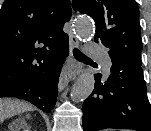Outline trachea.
Listing matches in <instances>:
<instances>
[{"label": "trachea", "instance_id": "3493384b", "mask_svg": "<svg viewBox=\"0 0 151 131\" xmlns=\"http://www.w3.org/2000/svg\"><path fill=\"white\" fill-rule=\"evenodd\" d=\"M73 53L76 58H88L85 54H83L81 51H79L76 48L74 49Z\"/></svg>", "mask_w": 151, "mask_h": 131}]
</instances>
